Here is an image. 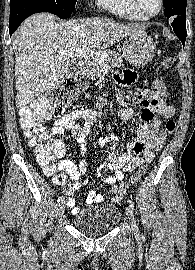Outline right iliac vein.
<instances>
[{
  "instance_id": "right-iliac-vein-1",
  "label": "right iliac vein",
  "mask_w": 195,
  "mask_h": 270,
  "mask_svg": "<svg viewBox=\"0 0 195 270\" xmlns=\"http://www.w3.org/2000/svg\"><path fill=\"white\" fill-rule=\"evenodd\" d=\"M64 210H65V202H61L58 206V216L59 217H62L63 216V213H64Z\"/></svg>"
}]
</instances>
